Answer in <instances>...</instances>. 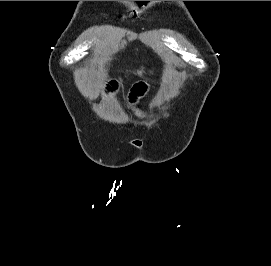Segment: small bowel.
I'll use <instances>...</instances> for the list:
<instances>
[{
	"instance_id": "1",
	"label": "small bowel",
	"mask_w": 271,
	"mask_h": 266,
	"mask_svg": "<svg viewBox=\"0 0 271 266\" xmlns=\"http://www.w3.org/2000/svg\"><path fill=\"white\" fill-rule=\"evenodd\" d=\"M117 88L116 81L112 80L107 84L105 88V94H112L114 90ZM148 86L145 82H140L135 84L132 89L130 90L128 96H127V104L128 106L133 109L135 112L138 110L136 109V104L138 100L145 95L147 92Z\"/></svg>"
}]
</instances>
